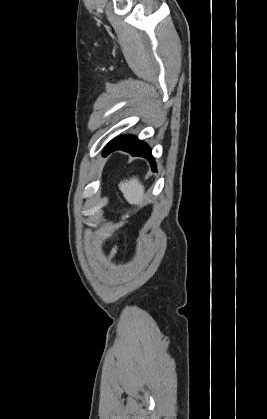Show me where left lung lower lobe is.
<instances>
[{"label":"left lung lower lobe","mask_w":267,"mask_h":419,"mask_svg":"<svg viewBox=\"0 0 267 419\" xmlns=\"http://www.w3.org/2000/svg\"><path fill=\"white\" fill-rule=\"evenodd\" d=\"M123 150L129 152L132 156H140L148 159L153 171H156V164L151 153V148L135 136H122L110 141L104 149L106 156L113 151Z\"/></svg>","instance_id":"obj_1"}]
</instances>
